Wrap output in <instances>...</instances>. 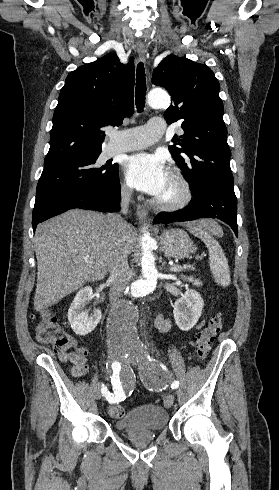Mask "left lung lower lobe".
Returning <instances> with one entry per match:
<instances>
[{
    "label": "left lung lower lobe",
    "mask_w": 279,
    "mask_h": 490,
    "mask_svg": "<svg viewBox=\"0 0 279 490\" xmlns=\"http://www.w3.org/2000/svg\"><path fill=\"white\" fill-rule=\"evenodd\" d=\"M191 193L192 199L188 206L173 213H159L154 222L167 224L198 218H217L227 223L238 236L237 199L233 185L205 180Z\"/></svg>",
    "instance_id": "0a47b994"
}]
</instances>
